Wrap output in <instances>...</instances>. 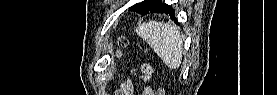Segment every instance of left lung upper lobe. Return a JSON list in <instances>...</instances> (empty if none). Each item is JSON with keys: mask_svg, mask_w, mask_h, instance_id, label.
Returning a JSON list of instances; mask_svg holds the SVG:
<instances>
[{"mask_svg": "<svg viewBox=\"0 0 277 95\" xmlns=\"http://www.w3.org/2000/svg\"><path fill=\"white\" fill-rule=\"evenodd\" d=\"M161 4H162L161 0H152V6H159Z\"/></svg>", "mask_w": 277, "mask_h": 95, "instance_id": "obj_1", "label": "left lung upper lobe"}]
</instances>
